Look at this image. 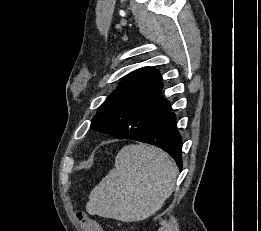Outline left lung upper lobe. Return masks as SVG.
<instances>
[{"instance_id": "5c2ea615", "label": "left lung upper lobe", "mask_w": 261, "mask_h": 231, "mask_svg": "<svg viewBox=\"0 0 261 231\" xmlns=\"http://www.w3.org/2000/svg\"><path fill=\"white\" fill-rule=\"evenodd\" d=\"M161 90L160 74L152 67L129 73L100 106L91 127L117 138L141 136L169 106Z\"/></svg>"}]
</instances>
